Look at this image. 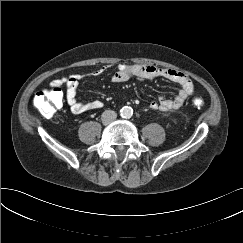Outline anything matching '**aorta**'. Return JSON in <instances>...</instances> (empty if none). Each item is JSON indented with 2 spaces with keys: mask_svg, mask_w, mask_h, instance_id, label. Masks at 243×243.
Instances as JSON below:
<instances>
[{
  "mask_svg": "<svg viewBox=\"0 0 243 243\" xmlns=\"http://www.w3.org/2000/svg\"><path fill=\"white\" fill-rule=\"evenodd\" d=\"M133 114V109L130 106H124L120 109V115L123 118H130Z\"/></svg>",
  "mask_w": 243,
  "mask_h": 243,
  "instance_id": "1",
  "label": "aorta"
}]
</instances>
